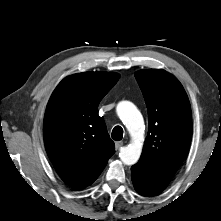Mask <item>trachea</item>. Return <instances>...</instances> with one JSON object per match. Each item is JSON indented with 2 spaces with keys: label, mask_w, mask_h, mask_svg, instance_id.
<instances>
[{
  "label": "trachea",
  "mask_w": 221,
  "mask_h": 221,
  "mask_svg": "<svg viewBox=\"0 0 221 221\" xmlns=\"http://www.w3.org/2000/svg\"><path fill=\"white\" fill-rule=\"evenodd\" d=\"M112 138L115 141H119L123 138V129L120 126H115L112 130Z\"/></svg>",
  "instance_id": "trachea-1"
}]
</instances>
